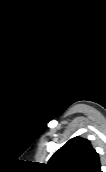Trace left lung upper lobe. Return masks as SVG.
Segmentation results:
<instances>
[{"label":"left lung upper lobe","mask_w":106,"mask_h":172,"mask_svg":"<svg viewBox=\"0 0 106 172\" xmlns=\"http://www.w3.org/2000/svg\"><path fill=\"white\" fill-rule=\"evenodd\" d=\"M52 172H102L99 155L89 140L74 137L49 160Z\"/></svg>","instance_id":"left-lung-upper-lobe-1"}]
</instances>
